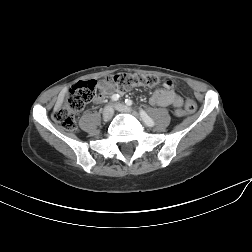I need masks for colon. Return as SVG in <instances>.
<instances>
[{
	"label": "colon",
	"instance_id": "1",
	"mask_svg": "<svg viewBox=\"0 0 252 252\" xmlns=\"http://www.w3.org/2000/svg\"><path fill=\"white\" fill-rule=\"evenodd\" d=\"M104 83L115 89L123 92L137 85L155 87L159 85L160 79L155 75L143 73H116L108 75L104 79ZM165 84L174 86L173 82L166 81ZM97 82L94 80L81 81L71 87L67 93L64 102L55 109L53 113L54 121L64 130L75 132L77 130L75 115L88 102L96 98ZM196 102L187 98L185 109L192 113L196 110ZM181 114V112H179Z\"/></svg>",
	"mask_w": 252,
	"mask_h": 252
}]
</instances>
